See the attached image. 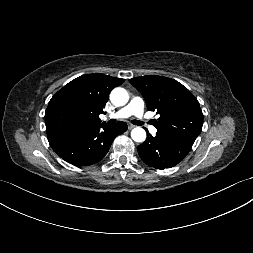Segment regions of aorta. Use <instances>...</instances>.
<instances>
[{"mask_svg": "<svg viewBox=\"0 0 253 253\" xmlns=\"http://www.w3.org/2000/svg\"><path fill=\"white\" fill-rule=\"evenodd\" d=\"M110 100L115 106H123L129 100L128 92L121 87L112 90ZM131 137L135 142H144L146 139V132L143 128L136 127L131 131Z\"/></svg>", "mask_w": 253, "mask_h": 253, "instance_id": "1", "label": "aorta"}]
</instances>
